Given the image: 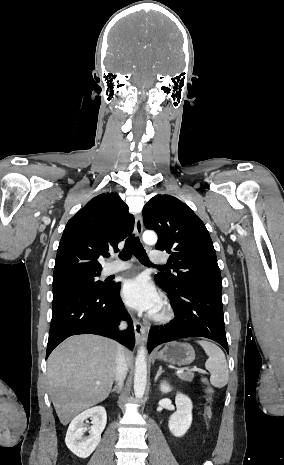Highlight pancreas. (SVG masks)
Masks as SVG:
<instances>
[{"mask_svg": "<svg viewBox=\"0 0 284 465\" xmlns=\"http://www.w3.org/2000/svg\"><path fill=\"white\" fill-rule=\"evenodd\" d=\"M177 377L182 379V381H192V379H194V373H179Z\"/></svg>", "mask_w": 284, "mask_h": 465, "instance_id": "pancreas-1", "label": "pancreas"}]
</instances>
